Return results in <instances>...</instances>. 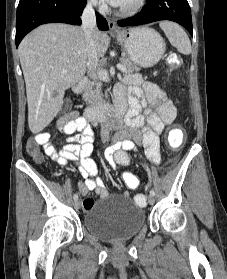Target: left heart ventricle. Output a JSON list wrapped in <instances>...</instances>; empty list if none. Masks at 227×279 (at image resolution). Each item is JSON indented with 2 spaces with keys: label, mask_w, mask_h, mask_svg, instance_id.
Segmentation results:
<instances>
[{
  "label": "left heart ventricle",
  "mask_w": 227,
  "mask_h": 279,
  "mask_svg": "<svg viewBox=\"0 0 227 279\" xmlns=\"http://www.w3.org/2000/svg\"><path fill=\"white\" fill-rule=\"evenodd\" d=\"M135 0H124L120 6H130Z\"/></svg>",
  "instance_id": "1"
}]
</instances>
